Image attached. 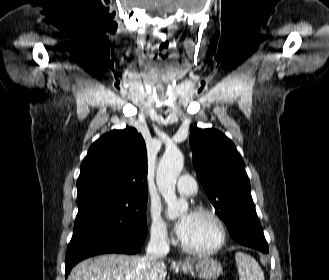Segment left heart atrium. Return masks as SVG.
<instances>
[{"instance_id":"39dd6f15","label":"left heart atrium","mask_w":329,"mask_h":280,"mask_svg":"<svg viewBox=\"0 0 329 280\" xmlns=\"http://www.w3.org/2000/svg\"><path fill=\"white\" fill-rule=\"evenodd\" d=\"M189 218L190 214H187L183 218H181L176 224V232L180 238H182L186 232Z\"/></svg>"}]
</instances>
